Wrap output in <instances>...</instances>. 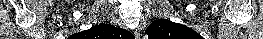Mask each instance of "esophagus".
Masks as SVG:
<instances>
[{
  "instance_id": "obj_1",
  "label": "esophagus",
  "mask_w": 263,
  "mask_h": 39,
  "mask_svg": "<svg viewBox=\"0 0 263 39\" xmlns=\"http://www.w3.org/2000/svg\"><path fill=\"white\" fill-rule=\"evenodd\" d=\"M134 35L136 39H140V33L138 31H135Z\"/></svg>"
}]
</instances>
